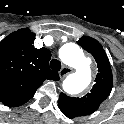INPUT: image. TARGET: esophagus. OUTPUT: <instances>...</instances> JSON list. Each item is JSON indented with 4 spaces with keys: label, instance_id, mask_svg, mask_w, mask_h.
<instances>
[{
    "label": "esophagus",
    "instance_id": "obj_1",
    "mask_svg": "<svg viewBox=\"0 0 124 124\" xmlns=\"http://www.w3.org/2000/svg\"><path fill=\"white\" fill-rule=\"evenodd\" d=\"M72 72V69L70 67H63L60 71H59V76L61 79L65 78L68 74H70Z\"/></svg>",
    "mask_w": 124,
    "mask_h": 124
}]
</instances>
